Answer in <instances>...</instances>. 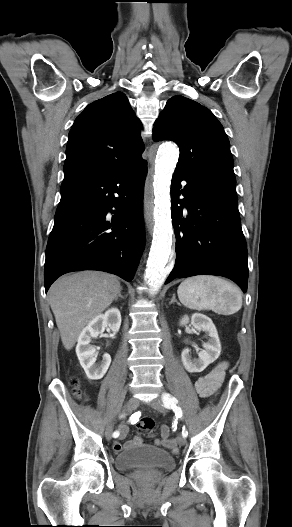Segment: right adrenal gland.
I'll return each mask as SVG.
<instances>
[{
    "mask_svg": "<svg viewBox=\"0 0 292 527\" xmlns=\"http://www.w3.org/2000/svg\"><path fill=\"white\" fill-rule=\"evenodd\" d=\"M119 298L124 299V296L121 294V292L118 293L117 297L115 298V301H117Z\"/></svg>",
    "mask_w": 292,
    "mask_h": 527,
    "instance_id": "2a0ac1e0",
    "label": "right adrenal gland"
}]
</instances>
